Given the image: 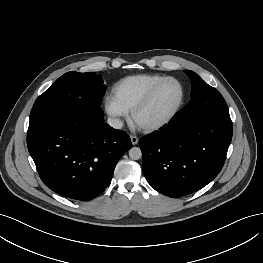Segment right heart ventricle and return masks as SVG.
Segmentation results:
<instances>
[{"instance_id": "right-heart-ventricle-1", "label": "right heart ventricle", "mask_w": 263, "mask_h": 263, "mask_svg": "<svg viewBox=\"0 0 263 263\" xmlns=\"http://www.w3.org/2000/svg\"><path fill=\"white\" fill-rule=\"evenodd\" d=\"M163 77L159 74H139L122 78L112 86L111 98L125 113L131 112Z\"/></svg>"}]
</instances>
